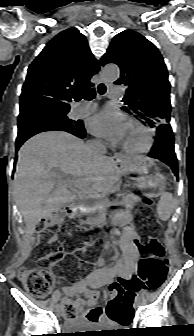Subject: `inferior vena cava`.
Instances as JSON below:
<instances>
[{"label": "inferior vena cava", "instance_id": "1", "mask_svg": "<svg viewBox=\"0 0 194 336\" xmlns=\"http://www.w3.org/2000/svg\"><path fill=\"white\" fill-rule=\"evenodd\" d=\"M87 149L94 155H104L106 153V147L100 140H92L87 142Z\"/></svg>", "mask_w": 194, "mask_h": 336}]
</instances>
